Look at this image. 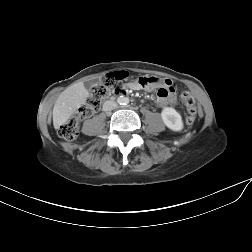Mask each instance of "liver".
<instances>
[{
    "label": "liver",
    "instance_id": "obj_1",
    "mask_svg": "<svg viewBox=\"0 0 252 252\" xmlns=\"http://www.w3.org/2000/svg\"><path fill=\"white\" fill-rule=\"evenodd\" d=\"M89 96L82 82L65 89L57 98L53 107V125L58 129L83 105Z\"/></svg>",
    "mask_w": 252,
    "mask_h": 252
}]
</instances>
